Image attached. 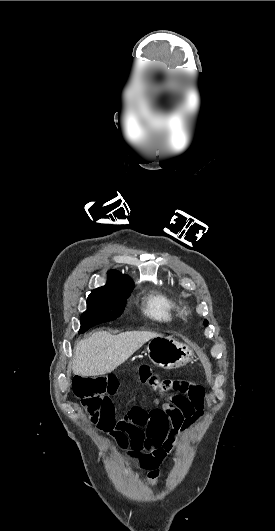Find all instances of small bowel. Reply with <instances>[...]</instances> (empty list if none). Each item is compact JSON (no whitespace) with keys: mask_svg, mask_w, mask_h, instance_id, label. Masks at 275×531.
Masks as SVG:
<instances>
[{"mask_svg":"<svg viewBox=\"0 0 275 531\" xmlns=\"http://www.w3.org/2000/svg\"><path fill=\"white\" fill-rule=\"evenodd\" d=\"M141 382H152V371L148 367H141L137 371ZM157 379L156 377L154 378ZM167 382H177L180 385H165V392H180L192 394L197 397L190 401L181 395H176L168 403L149 409L134 406L127 413L103 426V430L122 448L129 444L131 451L129 458L139 467L147 471V478L157 479L160 475V465L165 457L175 452L181 438L204 416L202 408L204 400L198 399L204 394V386L197 383L195 390H186L184 382L190 381L189 375H167ZM107 385L100 403L101 413L104 417H113L118 414L115 407L117 389L121 384L119 375H108ZM153 392H159L160 386L153 385ZM159 442V443H157ZM157 449L147 453L143 449Z\"/></svg>","mask_w":275,"mask_h":531,"instance_id":"c3829d8e","label":"small bowel"}]
</instances>
